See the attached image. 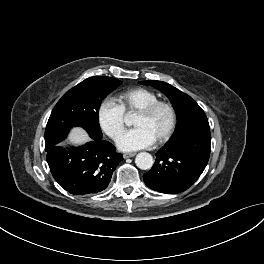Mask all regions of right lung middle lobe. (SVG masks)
<instances>
[{"label":"right lung middle lobe","mask_w":264,"mask_h":264,"mask_svg":"<svg viewBox=\"0 0 264 264\" xmlns=\"http://www.w3.org/2000/svg\"><path fill=\"white\" fill-rule=\"evenodd\" d=\"M122 84L111 77L93 76L67 91L54 107L45 130V150L62 141L74 126L101 139L98 112L102 100Z\"/></svg>","instance_id":"dd1d6c3e"}]
</instances>
